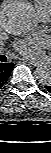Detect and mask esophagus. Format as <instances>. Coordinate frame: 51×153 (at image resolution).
<instances>
[{
  "label": "esophagus",
  "instance_id": "1",
  "mask_svg": "<svg viewBox=\"0 0 51 153\" xmlns=\"http://www.w3.org/2000/svg\"><path fill=\"white\" fill-rule=\"evenodd\" d=\"M24 62L28 65H34V66H37L38 65V62L36 61H32V60H24Z\"/></svg>",
  "mask_w": 51,
  "mask_h": 153
}]
</instances>
